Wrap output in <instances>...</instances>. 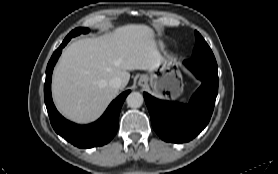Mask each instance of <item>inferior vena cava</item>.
Instances as JSON below:
<instances>
[{
    "mask_svg": "<svg viewBox=\"0 0 278 174\" xmlns=\"http://www.w3.org/2000/svg\"><path fill=\"white\" fill-rule=\"evenodd\" d=\"M109 85L115 89L122 87V80L119 77H114L109 81Z\"/></svg>",
    "mask_w": 278,
    "mask_h": 174,
    "instance_id": "inferior-vena-cava-1",
    "label": "inferior vena cava"
}]
</instances>
